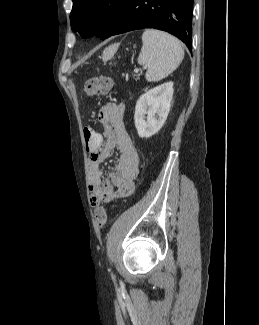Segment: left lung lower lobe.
<instances>
[{
	"label": "left lung lower lobe",
	"instance_id": "0a47b994",
	"mask_svg": "<svg viewBox=\"0 0 259 325\" xmlns=\"http://www.w3.org/2000/svg\"><path fill=\"white\" fill-rule=\"evenodd\" d=\"M193 0H125L108 37L155 28L173 34L191 49Z\"/></svg>",
	"mask_w": 259,
	"mask_h": 325
}]
</instances>
